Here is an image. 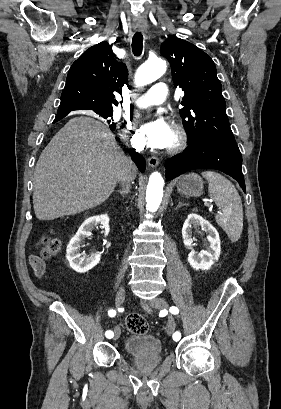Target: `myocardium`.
I'll use <instances>...</instances> for the list:
<instances>
[{"instance_id": "1", "label": "myocardium", "mask_w": 281, "mask_h": 409, "mask_svg": "<svg viewBox=\"0 0 281 409\" xmlns=\"http://www.w3.org/2000/svg\"><path fill=\"white\" fill-rule=\"evenodd\" d=\"M171 131L174 136V140L170 146L166 148V153L169 155H174L181 152L188 142L187 131L179 125H173Z\"/></svg>"}]
</instances>
